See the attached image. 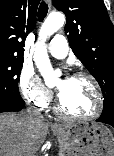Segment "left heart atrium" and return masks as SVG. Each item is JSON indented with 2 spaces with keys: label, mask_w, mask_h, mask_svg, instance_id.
Segmentation results:
<instances>
[{
  "label": "left heart atrium",
  "mask_w": 114,
  "mask_h": 156,
  "mask_svg": "<svg viewBox=\"0 0 114 156\" xmlns=\"http://www.w3.org/2000/svg\"><path fill=\"white\" fill-rule=\"evenodd\" d=\"M69 78H65V79H63L64 81H66V80H68Z\"/></svg>",
  "instance_id": "39dd6f15"
}]
</instances>
